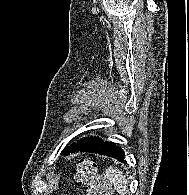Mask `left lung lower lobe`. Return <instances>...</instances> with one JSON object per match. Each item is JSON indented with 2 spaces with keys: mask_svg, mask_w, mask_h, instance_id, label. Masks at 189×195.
<instances>
[{
  "mask_svg": "<svg viewBox=\"0 0 189 195\" xmlns=\"http://www.w3.org/2000/svg\"><path fill=\"white\" fill-rule=\"evenodd\" d=\"M79 151L92 152L110 156L116 158L120 162L126 163V161H124V152L120 147L108 141L104 142L98 137H85L79 140L77 143H73L71 146L65 147L61 154L69 155L70 153H76Z\"/></svg>",
  "mask_w": 189,
  "mask_h": 195,
  "instance_id": "left-lung-lower-lobe-1",
  "label": "left lung lower lobe"
}]
</instances>
